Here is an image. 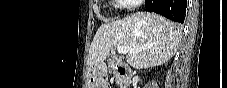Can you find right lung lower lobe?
Segmentation results:
<instances>
[{
  "mask_svg": "<svg viewBox=\"0 0 227 88\" xmlns=\"http://www.w3.org/2000/svg\"><path fill=\"white\" fill-rule=\"evenodd\" d=\"M145 7L148 12H155L172 21L183 23L187 0H146Z\"/></svg>",
  "mask_w": 227,
  "mask_h": 88,
  "instance_id": "1",
  "label": "right lung lower lobe"
}]
</instances>
